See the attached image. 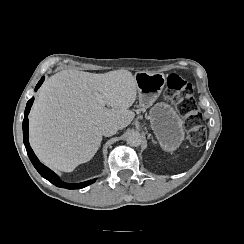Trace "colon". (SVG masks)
Masks as SVG:
<instances>
[{"label":"colon","instance_id":"colon-1","mask_svg":"<svg viewBox=\"0 0 244 244\" xmlns=\"http://www.w3.org/2000/svg\"><path fill=\"white\" fill-rule=\"evenodd\" d=\"M165 94L177 103L179 112L186 116L187 125L190 127V142L202 144L206 138V129L202 125V114L192 96L191 84L178 74H170L166 81Z\"/></svg>","mask_w":244,"mask_h":244}]
</instances>
